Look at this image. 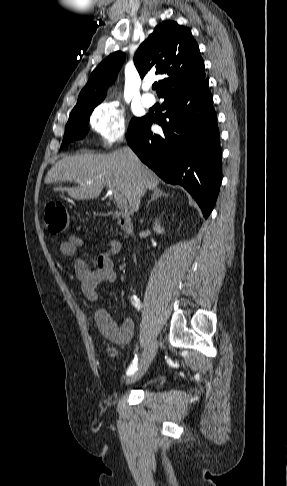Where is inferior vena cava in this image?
I'll return each instance as SVG.
<instances>
[{
	"label": "inferior vena cava",
	"instance_id": "602c4592",
	"mask_svg": "<svg viewBox=\"0 0 287 486\" xmlns=\"http://www.w3.org/2000/svg\"><path fill=\"white\" fill-rule=\"evenodd\" d=\"M130 153H133L129 148H126ZM146 188L143 186L142 189L140 190V197H142L145 193Z\"/></svg>",
	"mask_w": 287,
	"mask_h": 486
}]
</instances>
